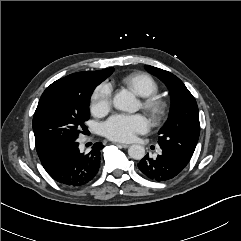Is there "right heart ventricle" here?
<instances>
[{"label": "right heart ventricle", "instance_id": "e07e8e85", "mask_svg": "<svg viewBox=\"0 0 241 241\" xmlns=\"http://www.w3.org/2000/svg\"><path fill=\"white\" fill-rule=\"evenodd\" d=\"M125 87L138 96L147 97L156 94L158 83L149 74L143 72L131 73L122 79Z\"/></svg>", "mask_w": 241, "mask_h": 241}]
</instances>
